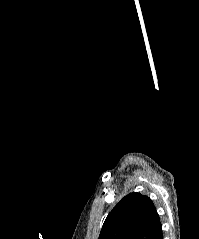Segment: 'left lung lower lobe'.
Returning a JSON list of instances; mask_svg holds the SVG:
<instances>
[{
	"label": "left lung lower lobe",
	"mask_w": 199,
	"mask_h": 239,
	"mask_svg": "<svg viewBox=\"0 0 199 239\" xmlns=\"http://www.w3.org/2000/svg\"><path fill=\"white\" fill-rule=\"evenodd\" d=\"M153 239H163V233H162V228H161V225L157 231V233L155 234L154 238Z\"/></svg>",
	"instance_id": "0a47b994"
}]
</instances>
